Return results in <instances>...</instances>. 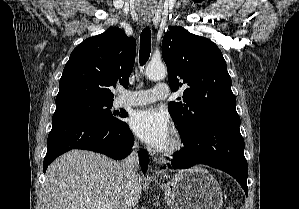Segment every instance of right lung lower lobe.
<instances>
[{
  "instance_id": "right-lung-lower-lobe-1",
  "label": "right lung lower lobe",
  "mask_w": 299,
  "mask_h": 209,
  "mask_svg": "<svg viewBox=\"0 0 299 209\" xmlns=\"http://www.w3.org/2000/svg\"><path fill=\"white\" fill-rule=\"evenodd\" d=\"M52 124L43 163L44 173L49 164L69 150H90L120 160L127 157L134 142L133 134L123 121L110 125L73 111L59 110L55 111ZM139 162L145 172L148 165L147 152H139Z\"/></svg>"
}]
</instances>
